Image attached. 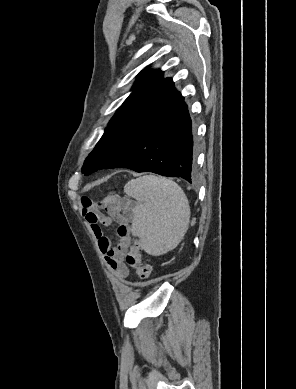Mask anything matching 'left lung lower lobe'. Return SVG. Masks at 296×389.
<instances>
[{
  "mask_svg": "<svg viewBox=\"0 0 296 389\" xmlns=\"http://www.w3.org/2000/svg\"><path fill=\"white\" fill-rule=\"evenodd\" d=\"M93 153L99 169L124 167L192 183L195 123L172 79L108 126Z\"/></svg>",
  "mask_w": 296,
  "mask_h": 389,
  "instance_id": "1",
  "label": "left lung lower lobe"
}]
</instances>
